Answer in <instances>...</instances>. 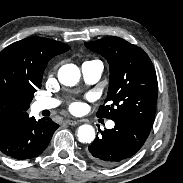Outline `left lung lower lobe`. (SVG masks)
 <instances>
[{
    "label": "left lung lower lobe",
    "mask_w": 183,
    "mask_h": 183,
    "mask_svg": "<svg viewBox=\"0 0 183 183\" xmlns=\"http://www.w3.org/2000/svg\"><path fill=\"white\" fill-rule=\"evenodd\" d=\"M113 121L115 127L99 130L101 135L87 150V156L92 161L105 167L116 166L136 154L152 128L129 118Z\"/></svg>",
    "instance_id": "1"
}]
</instances>
